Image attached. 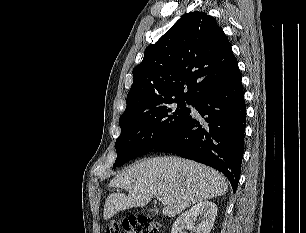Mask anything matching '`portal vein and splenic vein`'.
I'll return each instance as SVG.
<instances>
[{
    "label": "portal vein and splenic vein",
    "mask_w": 306,
    "mask_h": 233,
    "mask_svg": "<svg viewBox=\"0 0 306 233\" xmlns=\"http://www.w3.org/2000/svg\"><path fill=\"white\" fill-rule=\"evenodd\" d=\"M159 201H161L163 204H167L168 203V199L164 198V197H159L158 198Z\"/></svg>",
    "instance_id": "obj_1"
}]
</instances>
